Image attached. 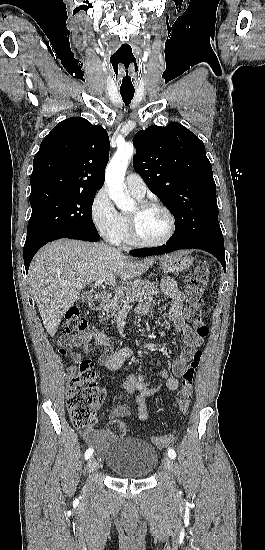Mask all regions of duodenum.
<instances>
[{"mask_svg": "<svg viewBox=\"0 0 265 550\" xmlns=\"http://www.w3.org/2000/svg\"><path fill=\"white\" fill-rule=\"evenodd\" d=\"M105 303V296L103 294L95 295L90 301V308L93 311L100 310Z\"/></svg>", "mask_w": 265, "mask_h": 550, "instance_id": "obj_1", "label": "duodenum"}]
</instances>
